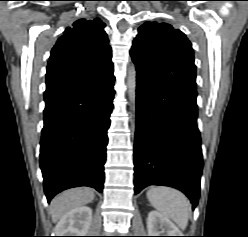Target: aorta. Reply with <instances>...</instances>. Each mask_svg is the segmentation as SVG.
Instances as JSON below:
<instances>
[{
  "label": "aorta",
  "mask_w": 248,
  "mask_h": 237,
  "mask_svg": "<svg viewBox=\"0 0 248 237\" xmlns=\"http://www.w3.org/2000/svg\"><path fill=\"white\" fill-rule=\"evenodd\" d=\"M127 87H128V96L129 100L135 104V98H136V69L134 65H132L128 69L127 73Z\"/></svg>",
  "instance_id": "obj_1"
}]
</instances>
